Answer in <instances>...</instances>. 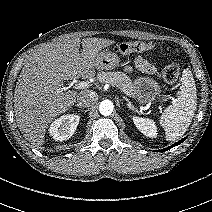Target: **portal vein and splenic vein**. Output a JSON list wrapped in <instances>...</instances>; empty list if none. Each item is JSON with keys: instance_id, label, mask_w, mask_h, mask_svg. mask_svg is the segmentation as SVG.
<instances>
[{"instance_id": "portal-vein-and-splenic-vein-1", "label": "portal vein and splenic vein", "mask_w": 212, "mask_h": 212, "mask_svg": "<svg viewBox=\"0 0 212 212\" xmlns=\"http://www.w3.org/2000/svg\"><path fill=\"white\" fill-rule=\"evenodd\" d=\"M73 86V84L70 85V87ZM75 89H85L89 87V83L84 81L76 82V84L73 86ZM64 90L67 88H63Z\"/></svg>"}]
</instances>
